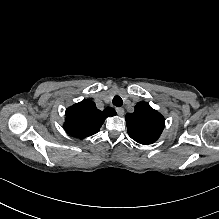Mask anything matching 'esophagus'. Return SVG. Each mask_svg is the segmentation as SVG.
Masks as SVG:
<instances>
[{
    "mask_svg": "<svg viewBox=\"0 0 219 219\" xmlns=\"http://www.w3.org/2000/svg\"><path fill=\"white\" fill-rule=\"evenodd\" d=\"M116 112L118 115L122 116L124 114V109L123 108H116Z\"/></svg>",
    "mask_w": 219,
    "mask_h": 219,
    "instance_id": "esophagus-1",
    "label": "esophagus"
}]
</instances>
